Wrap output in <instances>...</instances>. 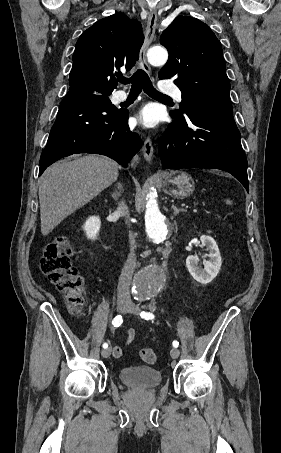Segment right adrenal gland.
Returning a JSON list of instances; mask_svg holds the SVG:
<instances>
[{
  "label": "right adrenal gland",
  "mask_w": 281,
  "mask_h": 453,
  "mask_svg": "<svg viewBox=\"0 0 281 453\" xmlns=\"http://www.w3.org/2000/svg\"><path fill=\"white\" fill-rule=\"evenodd\" d=\"M116 186H117L119 192H118V190H115V192H112V196H113L114 200H117V202H118L120 192H121V190H123V186H122L121 182H117Z\"/></svg>",
  "instance_id": "2a0ac1e0"
}]
</instances>
